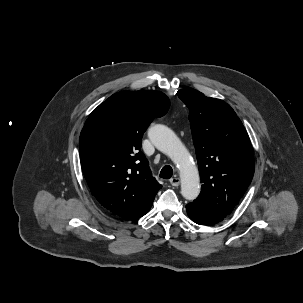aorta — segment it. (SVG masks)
I'll use <instances>...</instances> for the list:
<instances>
[{
	"label": "aorta",
	"mask_w": 303,
	"mask_h": 303,
	"mask_svg": "<svg viewBox=\"0 0 303 303\" xmlns=\"http://www.w3.org/2000/svg\"><path fill=\"white\" fill-rule=\"evenodd\" d=\"M148 137L158 150L168 155L177 165L182 196L190 201L196 199L200 193L199 172L177 135L167 126L156 124L149 128Z\"/></svg>",
	"instance_id": "762f6f07"
}]
</instances>
